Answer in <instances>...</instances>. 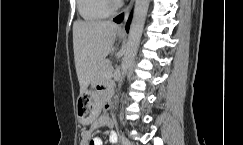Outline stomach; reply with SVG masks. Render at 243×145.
Returning <instances> with one entry per match:
<instances>
[{"instance_id":"1","label":"stomach","mask_w":243,"mask_h":145,"mask_svg":"<svg viewBox=\"0 0 243 145\" xmlns=\"http://www.w3.org/2000/svg\"><path fill=\"white\" fill-rule=\"evenodd\" d=\"M101 94L84 92L77 101V119L80 123L88 124L99 114Z\"/></svg>"}]
</instances>
